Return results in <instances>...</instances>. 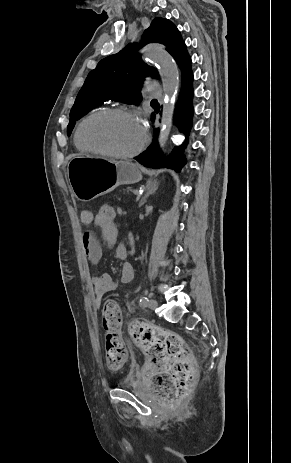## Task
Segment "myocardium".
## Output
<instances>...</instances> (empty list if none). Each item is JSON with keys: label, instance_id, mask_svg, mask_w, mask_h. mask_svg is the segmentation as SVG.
<instances>
[{"label": "myocardium", "instance_id": "myocardium-1", "mask_svg": "<svg viewBox=\"0 0 291 463\" xmlns=\"http://www.w3.org/2000/svg\"><path fill=\"white\" fill-rule=\"evenodd\" d=\"M115 115L129 117L135 120L136 122H138L142 127L143 134H142L141 142L134 150L130 152L118 153V152H113V151H110L104 148L95 147L89 144L83 137L84 127L92 119L97 118V117H109V116H115ZM76 139H77V142L82 146V148L89 152L104 155L107 157H112V158L127 159V158H133L139 155L143 151V149L145 148L148 142V134H147L145 127L142 125L138 115L135 112L129 109H126V108H111V109L100 110V111L94 112L90 114L89 116H87L85 119H83L77 128Z\"/></svg>", "mask_w": 291, "mask_h": 463}]
</instances>
